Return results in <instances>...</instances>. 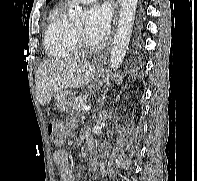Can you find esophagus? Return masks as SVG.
<instances>
[{
    "label": "esophagus",
    "mask_w": 197,
    "mask_h": 181,
    "mask_svg": "<svg viewBox=\"0 0 197 181\" xmlns=\"http://www.w3.org/2000/svg\"><path fill=\"white\" fill-rule=\"evenodd\" d=\"M115 19H117V15L115 16ZM107 55V52L102 56V59H105Z\"/></svg>",
    "instance_id": "1"
}]
</instances>
